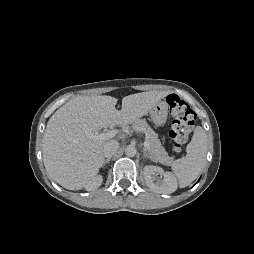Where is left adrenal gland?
<instances>
[{"label":"left adrenal gland","instance_id":"1","mask_svg":"<svg viewBox=\"0 0 254 254\" xmlns=\"http://www.w3.org/2000/svg\"><path fill=\"white\" fill-rule=\"evenodd\" d=\"M143 155H144V157L150 158L152 161L155 162V160L152 158V156L147 152V150L145 148L143 149Z\"/></svg>","mask_w":254,"mask_h":254}]
</instances>
